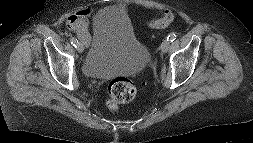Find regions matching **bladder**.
I'll list each match as a JSON object with an SVG mask.
<instances>
[{
  "instance_id": "31cf9c89",
  "label": "bladder",
  "mask_w": 253,
  "mask_h": 143,
  "mask_svg": "<svg viewBox=\"0 0 253 143\" xmlns=\"http://www.w3.org/2000/svg\"><path fill=\"white\" fill-rule=\"evenodd\" d=\"M150 60V50L136 37L129 15L122 7L111 5L96 13L92 40L82 63L87 77L107 79L136 74Z\"/></svg>"
}]
</instances>
